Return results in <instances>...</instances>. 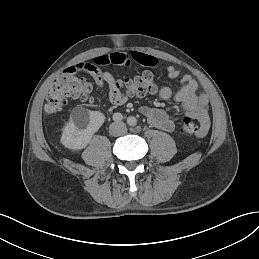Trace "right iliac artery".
<instances>
[{"mask_svg": "<svg viewBox=\"0 0 259 259\" xmlns=\"http://www.w3.org/2000/svg\"><path fill=\"white\" fill-rule=\"evenodd\" d=\"M112 118H113L114 121L120 122V121H122L123 116H122L121 113H115Z\"/></svg>", "mask_w": 259, "mask_h": 259, "instance_id": "1", "label": "right iliac artery"}]
</instances>
